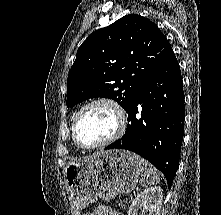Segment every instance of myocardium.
Listing matches in <instances>:
<instances>
[{
  "instance_id": "f54148a6",
  "label": "myocardium",
  "mask_w": 221,
  "mask_h": 215,
  "mask_svg": "<svg viewBox=\"0 0 221 215\" xmlns=\"http://www.w3.org/2000/svg\"><path fill=\"white\" fill-rule=\"evenodd\" d=\"M96 104H106V105L113 108V110L117 116V128L114 131V133L106 140H104L100 143H97V144L86 145V144L82 143L78 137L77 125H78V121H79L81 114L87 108H89L93 105H96ZM126 127H127V116H126V113H125L124 109L122 108V106L115 99H112L109 97H98V98H94V99L86 102L76 112L73 122H72V137H73L75 144L79 148L86 149V150L98 149V148L105 147V146L115 142L116 140H118L125 132Z\"/></svg>"
}]
</instances>
